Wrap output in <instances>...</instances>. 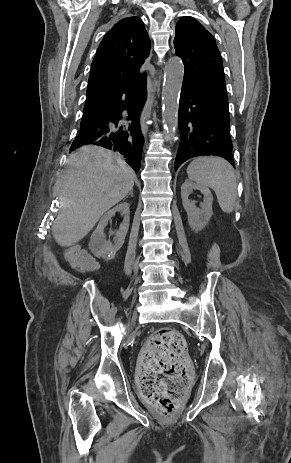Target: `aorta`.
I'll use <instances>...</instances> for the list:
<instances>
[{
    "label": "aorta",
    "mask_w": 291,
    "mask_h": 463,
    "mask_svg": "<svg viewBox=\"0 0 291 463\" xmlns=\"http://www.w3.org/2000/svg\"><path fill=\"white\" fill-rule=\"evenodd\" d=\"M184 76V65L179 58H172L165 67L162 89V121L167 138L175 135L178 126L179 97Z\"/></svg>",
    "instance_id": "aorta-1"
}]
</instances>
